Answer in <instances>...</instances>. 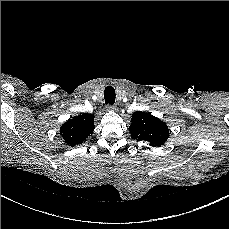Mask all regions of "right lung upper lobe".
Masks as SVG:
<instances>
[{
    "label": "right lung upper lobe",
    "mask_w": 229,
    "mask_h": 229,
    "mask_svg": "<svg viewBox=\"0 0 229 229\" xmlns=\"http://www.w3.org/2000/svg\"><path fill=\"white\" fill-rule=\"evenodd\" d=\"M94 131V116L91 114H80L69 119L60 128L65 143L76 145L82 143Z\"/></svg>",
    "instance_id": "right-lung-upper-lobe-1"
}]
</instances>
